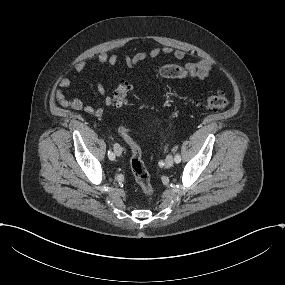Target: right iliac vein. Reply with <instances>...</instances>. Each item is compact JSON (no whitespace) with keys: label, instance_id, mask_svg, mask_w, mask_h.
I'll list each match as a JSON object with an SVG mask.
<instances>
[{"label":"right iliac vein","instance_id":"1","mask_svg":"<svg viewBox=\"0 0 285 285\" xmlns=\"http://www.w3.org/2000/svg\"><path fill=\"white\" fill-rule=\"evenodd\" d=\"M113 149H114V153H115L117 156H120V155L122 154V149H121V147H120L119 144H115L114 147H113Z\"/></svg>","mask_w":285,"mask_h":285}]
</instances>
